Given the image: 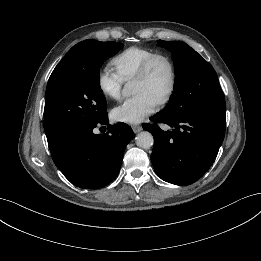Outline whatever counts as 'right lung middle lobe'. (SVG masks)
<instances>
[{
    "label": "right lung middle lobe",
    "instance_id": "dd1d6c3e",
    "mask_svg": "<svg viewBox=\"0 0 261 261\" xmlns=\"http://www.w3.org/2000/svg\"><path fill=\"white\" fill-rule=\"evenodd\" d=\"M122 47L114 41L85 40L72 47L55 67L45 93L44 130L49 145L107 116L100 67Z\"/></svg>",
    "mask_w": 261,
    "mask_h": 261
}]
</instances>
